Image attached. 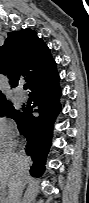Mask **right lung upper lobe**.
I'll return each instance as SVG.
<instances>
[{
  "instance_id": "cb5924a9",
  "label": "right lung upper lobe",
  "mask_w": 89,
  "mask_h": 203,
  "mask_svg": "<svg viewBox=\"0 0 89 203\" xmlns=\"http://www.w3.org/2000/svg\"><path fill=\"white\" fill-rule=\"evenodd\" d=\"M56 66L50 49L31 29H22L8 33L3 46L0 47V71L16 87L22 75L30 87L44 73ZM0 92V107L8 104Z\"/></svg>"
}]
</instances>
